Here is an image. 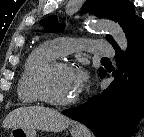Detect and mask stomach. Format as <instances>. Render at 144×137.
I'll use <instances>...</instances> for the list:
<instances>
[{"label":"stomach","mask_w":144,"mask_h":137,"mask_svg":"<svg viewBox=\"0 0 144 137\" xmlns=\"http://www.w3.org/2000/svg\"><path fill=\"white\" fill-rule=\"evenodd\" d=\"M71 135L72 137H83L82 131L76 127H72ZM10 137H37V133L34 128L14 127L11 130Z\"/></svg>","instance_id":"stomach-1"}]
</instances>
